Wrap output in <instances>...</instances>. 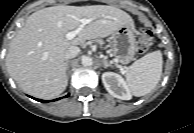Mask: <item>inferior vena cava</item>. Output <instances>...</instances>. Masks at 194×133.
Returning a JSON list of instances; mask_svg holds the SVG:
<instances>
[{"label":"inferior vena cava","instance_id":"inferior-vena-cava-1","mask_svg":"<svg viewBox=\"0 0 194 133\" xmlns=\"http://www.w3.org/2000/svg\"><path fill=\"white\" fill-rule=\"evenodd\" d=\"M80 52V49L78 47H70L64 54L65 60L75 58L78 53Z\"/></svg>","mask_w":194,"mask_h":133}]
</instances>
